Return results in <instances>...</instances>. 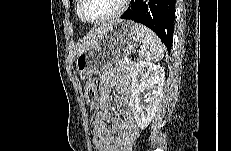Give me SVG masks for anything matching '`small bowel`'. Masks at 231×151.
<instances>
[{"instance_id": "obj_1", "label": "small bowel", "mask_w": 231, "mask_h": 151, "mask_svg": "<svg viewBox=\"0 0 231 151\" xmlns=\"http://www.w3.org/2000/svg\"><path fill=\"white\" fill-rule=\"evenodd\" d=\"M117 93L116 109L120 117L110 112L112 92ZM131 87L129 80L122 74L112 71L104 74L99 84V111L93 121L94 145L101 151H131L139 135L130 104ZM110 122L117 136H112L107 128Z\"/></svg>"}]
</instances>
